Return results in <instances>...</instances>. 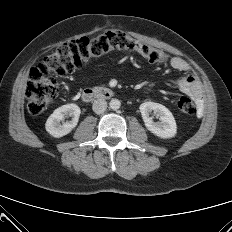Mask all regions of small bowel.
Wrapping results in <instances>:
<instances>
[{"mask_svg": "<svg viewBox=\"0 0 232 232\" xmlns=\"http://www.w3.org/2000/svg\"><path fill=\"white\" fill-rule=\"evenodd\" d=\"M170 65L173 69L186 73L185 76L178 79V87L181 92L194 99L200 112L203 107V95L200 83L195 75H193L190 64L181 57H173L170 60Z\"/></svg>", "mask_w": 232, "mask_h": 232, "instance_id": "c3829d8e", "label": "small bowel"}]
</instances>
